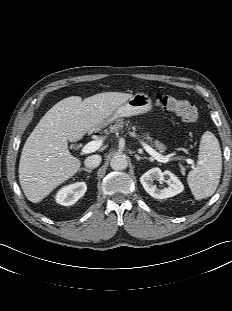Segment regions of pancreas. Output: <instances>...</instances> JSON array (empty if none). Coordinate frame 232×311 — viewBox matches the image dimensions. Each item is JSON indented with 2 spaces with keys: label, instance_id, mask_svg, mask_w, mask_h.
<instances>
[{
  "label": "pancreas",
  "instance_id": "1",
  "mask_svg": "<svg viewBox=\"0 0 232 311\" xmlns=\"http://www.w3.org/2000/svg\"><path fill=\"white\" fill-rule=\"evenodd\" d=\"M124 125H126V127L128 128V130L130 129V127H132V129L134 131H136L137 127L136 126H131L129 121H123L122 119H119L115 122L114 125H111L109 127V132L110 133H118L123 131ZM144 138L150 142V144L153 147H156L161 153H163L166 149L165 145L163 143H161L158 140L153 141V139L149 136V133H146V135L144 136Z\"/></svg>",
  "mask_w": 232,
  "mask_h": 311
}]
</instances>
